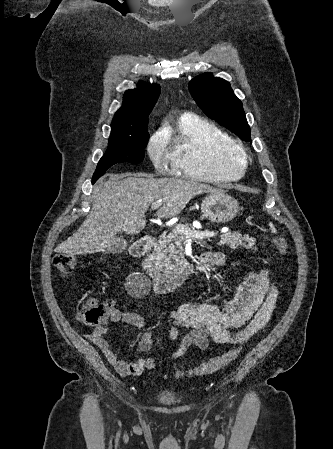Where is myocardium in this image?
Here are the masks:
<instances>
[{
  "mask_svg": "<svg viewBox=\"0 0 333 449\" xmlns=\"http://www.w3.org/2000/svg\"><path fill=\"white\" fill-rule=\"evenodd\" d=\"M223 155L224 161L229 164L234 163L237 159L247 160L245 149L235 142L225 148Z\"/></svg>",
  "mask_w": 333,
  "mask_h": 449,
  "instance_id": "1",
  "label": "myocardium"
}]
</instances>
